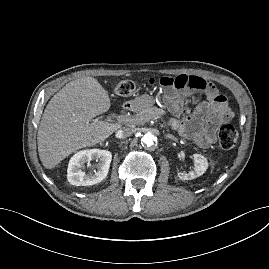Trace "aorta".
Here are the masks:
<instances>
[{
  "instance_id": "1",
  "label": "aorta",
  "mask_w": 269,
  "mask_h": 269,
  "mask_svg": "<svg viewBox=\"0 0 269 269\" xmlns=\"http://www.w3.org/2000/svg\"><path fill=\"white\" fill-rule=\"evenodd\" d=\"M141 141L147 146H152L156 141V137L152 133H146L142 136Z\"/></svg>"
}]
</instances>
